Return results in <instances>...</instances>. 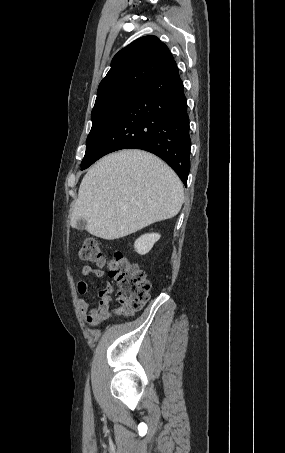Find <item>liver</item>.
Segmentation results:
<instances>
[{"label":"liver","instance_id":"liver-1","mask_svg":"<svg viewBox=\"0 0 285 453\" xmlns=\"http://www.w3.org/2000/svg\"><path fill=\"white\" fill-rule=\"evenodd\" d=\"M184 201L183 185L161 159L121 150L100 159L84 176L70 224L79 219L93 236L114 240L173 218Z\"/></svg>","mask_w":285,"mask_h":453}]
</instances>
